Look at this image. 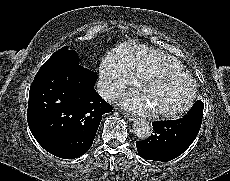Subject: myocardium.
<instances>
[{
    "mask_svg": "<svg viewBox=\"0 0 230 181\" xmlns=\"http://www.w3.org/2000/svg\"><path fill=\"white\" fill-rule=\"evenodd\" d=\"M166 77L185 79L191 85V92H190L187 100L185 101V103L182 106H180L176 109H173V110H154L153 111V113L156 116L173 118V117H177V116L183 114L192 106V104L196 98V95H197V85H196L195 81L193 80V78L184 71L160 70V71L152 72L142 79L141 84H140L141 91L144 92L146 87L151 82L156 81L158 79L166 78Z\"/></svg>",
    "mask_w": 230,
    "mask_h": 181,
    "instance_id": "obj_1",
    "label": "myocardium"
}]
</instances>
